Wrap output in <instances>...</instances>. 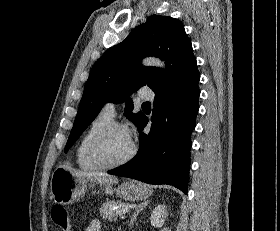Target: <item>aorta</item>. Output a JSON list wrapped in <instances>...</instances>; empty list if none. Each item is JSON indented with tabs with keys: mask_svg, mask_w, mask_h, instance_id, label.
<instances>
[{
	"mask_svg": "<svg viewBox=\"0 0 280 231\" xmlns=\"http://www.w3.org/2000/svg\"><path fill=\"white\" fill-rule=\"evenodd\" d=\"M143 64H146V66H158V68H164L165 66L164 62H161L159 58H147Z\"/></svg>",
	"mask_w": 280,
	"mask_h": 231,
	"instance_id": "762f6f07",
	"label": "aorta"
}]
</instances>
